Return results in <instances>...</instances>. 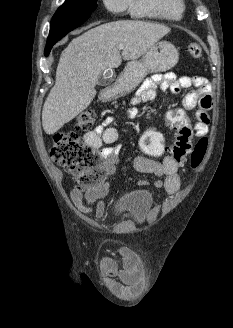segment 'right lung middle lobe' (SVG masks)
Masks as SVG:
<instances>
[{"instance_id":"dd1d6c3e","label":"right lung middle lobe","mask_w":233,"mask_h":328,"mask_svg":"<svg viewBox=\"0 0 233 328\" xmlns=\"http://www.w3.org/2000/svg\"><path fill=\"white\" fill-rule=\"evenodd\" d=\"M97 7V0H66L54 14V19H87Z\"/></svg>"}]
</instances>
